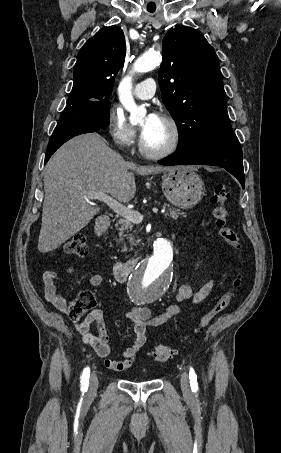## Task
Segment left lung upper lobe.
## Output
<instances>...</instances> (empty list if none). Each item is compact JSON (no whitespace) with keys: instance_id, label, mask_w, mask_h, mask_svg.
<instances>
[{"instance_id":"1","label":"left lung upper lobe","mask_w":281,"mask_h":453,"mask_svg":"<svg viewBox=\"0 0 281 453\" xmlns=\"http://www.w3.org/2000/svg\"><path fill=\"white\" fill-rule=\"evenodd\" d=\"M158 81L179 129L178 149L233 133L218 57L200 31L191 27L168 31Z\"/></svg>"}]
</instances>
